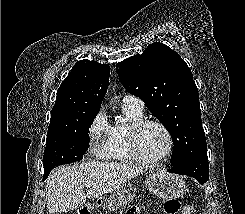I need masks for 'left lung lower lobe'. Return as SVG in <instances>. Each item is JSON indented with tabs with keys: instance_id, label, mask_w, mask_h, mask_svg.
I'll list each match as a JSON object with an SVG mask.
<instances>
[{
	"instance_id": "0a47b994",
	"label": "left lung lower lobe",
	"mask_w": 245,
	"mask_h": 214,
	"mask_svg": "<svg viewBox=\"0 0 245 214\" xmlns=\"http://www.w3.org/2000/svg\"><path fill=\"white\" fill-rule=\"evenodd\" d=\"M168 172L194 177L201 185L209 179L207 152L198 153L174 165Z\"/></svg>"
}]
</instances>
